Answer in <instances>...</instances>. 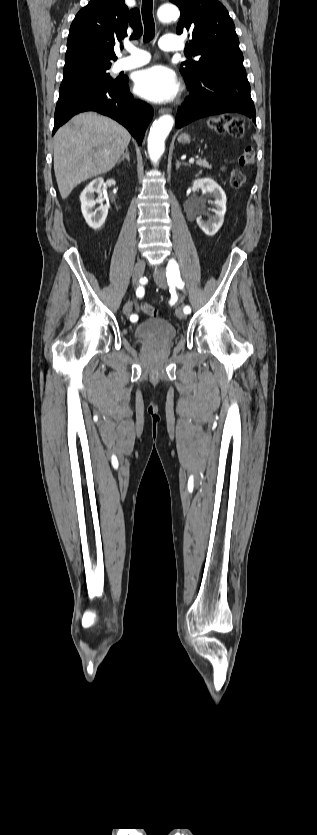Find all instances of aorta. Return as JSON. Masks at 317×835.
I'll use <instances>...</instances> for the list:
<instances>
[{"mask_svg":"<svg viewBox=\"0 0 317 835\" xmlns=\"http://www.w3.org/2000/svg\"><path fill=\"white\" fill-rule=\"evenodd\" d=\"M179 9L172 4H165L158 9V17L162 22H170L179 17ZM174 124V119L171 115H163L156 120L149 132L148 136V154L153 163H157L165 151V140L169 135Z\"/></svg>","mask_w":317,"mask_h":835,"instance_id":"1","label":"aorta"}]
</instances>
